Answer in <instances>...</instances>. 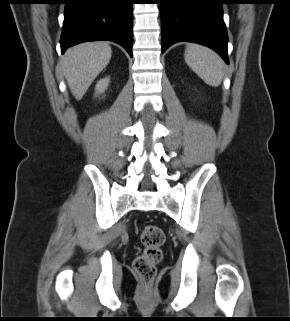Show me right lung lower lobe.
<instances>
[{
    "label": "right lung lower lobe",
    "mask_w": 290,
    "mask_h": 321,
    "mask_svg": "<svg viewBox=\"0 0 290 321\" xmlns=\"http://www.w3.org/2000/svg\"><path fill=\"white\" fill-rule=\"evenodd\" d=\"M132 0H66L61 51L86 41L109 40L132 57Z\"/></svg>",
    "instance_id": "1"
}]
</instances>
